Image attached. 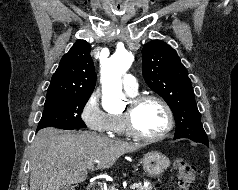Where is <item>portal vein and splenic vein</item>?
<instances>
[{
  "mask_svg": "<svg viewBox=\"0 0 238 190\" xmlns=\"http://www.w3.org/2000/svg\"><path fill=\"white\" fill-rule=\"evenodd\" d=\"M96 162H98V161H96ZM138 186H139V184L138 183H134V184H132L131 186H130V189H136V188H138Z\"/></svg>",
  "mask_w": 238,
  "mask_h": 190,
  "instance_id": "1",
  "label": "portal vein and splenic vein"
}]
</instances>
